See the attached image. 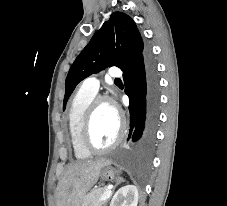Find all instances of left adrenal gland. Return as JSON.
<instances>
[{"instance_id":"left-adrenal-gland-1","label":"left adrenal gland","mask_w":227,"mask_h":206,"mask_svg":"<svg viewBox=\"0 0 227 206\" xmlns=\"http://www.w3.org/2000/svg\"><path fill=\"white\" fill-rule=\"evenodd\" d=\"M124 180L122 178H118L117 179V183L115 184L114 188L112 189V193L114 192L115 188L121 183L123 182ZM109 199L107 200L106 204L108 203ZM105 204V205H106Z\"/></svg>"}]
</instances>
